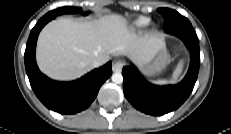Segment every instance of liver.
I'll return each instance as SVG.
<instances>
[{"label":"liver","instance_id":"obj_1","mask_svg":"<svg viewBox=\"0 0 231 134\" xmlns=\"http://www.w3.org/2000/svg\"><path fill=\"white\" fill-rule=\"evenodd\" d=\"M163 45L162 37L137 35L120 15L85 22L60 18L41 31L37 62L49 77L71 80L91 70L95 60L106 63L110 55H125L134 62H143Z\"/></svg>","mask_w":231,"mask_h":134}]
</instances>
